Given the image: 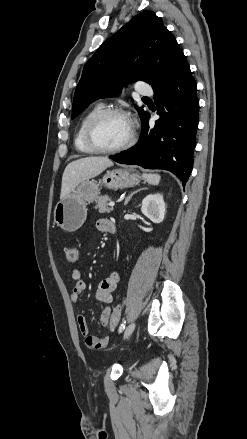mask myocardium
Wrapping results in <instances>:
<instances>
[{"mask_svg": "<svg viewBox=\"0 0 247 439\" xmlns=\"http://www.w3.org/2000/svg\"><path fill=\"white\" fill-rule=\"evenodd\" d=\"M110 116L124 117L130 122V125H131V132H130V136H129L128 140L125 143H123L122 145L115 147V148H105V147L101 146L96 139V129H97L98 125L101 123V121H103L105 118L110 117ZM84 137H85V141H86L87 145L94 152L102 153V154H114V153H119V152H122V151L130 148L135 142L136 134H135L134 127L129 119V116L124 110L117 109V108H108V109H103V110L99 111L89 120V122L87 123L86 128H85Z\"/></svg>", "mask_w": 247, "mask_h": 439, "instance_id": "f54148a6", "label": "myocardium"}]
</instances>
